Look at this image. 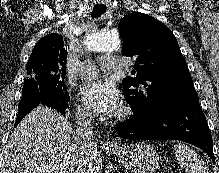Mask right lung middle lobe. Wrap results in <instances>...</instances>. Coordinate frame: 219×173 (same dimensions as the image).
Returning <instances> with one entry per match:
<instances>
[{
	"instance_id": "right-lung-middle-lobe-1",
	"label": "right lung middle lobe",
	"mask_w": 219,
	"mask_h": 173,
	"mask_svg": "<svg viewBox=\"0 0 219 173\" xmlns=\"http://www.w3.org/2000/svg\"><path fill=\"white\" fill-rule=\"evenodd\" d=\"M27 76L24 79L22 94L45 90L54 93L61 101L69 100V93L65 85L66 70L59 65L44 64L28 60Z\"/></svg>"
}]
</instances>
